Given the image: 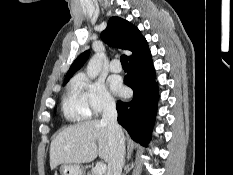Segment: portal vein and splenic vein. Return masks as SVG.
Segmentation results:
<instances>
[{"mask_svg": "<svg viewBox=\"0 0 233 175\" xmlns=\"http://www.w3.org/2000/svg\"><path fill=\"white\" fill-rule=\"evenodd\" d=\"M106 164L101 163L97 166L96 172L97 175H103L106 172Z\"/></svg>", "mask_w": 233, "mask_h": 175, "instance_id": "18ae733b", "label": "portal vein and splenic vein"}]
</instances>
